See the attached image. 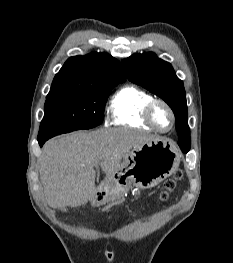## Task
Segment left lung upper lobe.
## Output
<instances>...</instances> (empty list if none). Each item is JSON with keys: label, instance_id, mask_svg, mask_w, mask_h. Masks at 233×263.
Returning <instances> with one entry per match:
<instances>
[{"label": "left lung upper lobe", "instance_id": "1", "mask_svg": "<svg viewBox=\"0 0 233 263\" xmlns=\"http://www.w3.org/2000/svg\"><path fill=\"white\" fill-rule=\"evenodd\" d=\"M121 65L131 82L161 97L171 107L179 139H185L191 144L185 89L171 64L148 52L123 59Z\"/></svg>", "mask_w": 233, "mask_h": 263}]
</instances>
